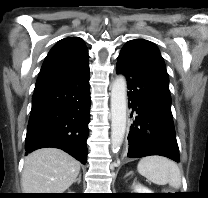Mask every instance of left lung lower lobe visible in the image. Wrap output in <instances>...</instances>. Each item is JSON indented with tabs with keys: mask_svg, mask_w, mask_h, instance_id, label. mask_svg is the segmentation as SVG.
Here are the masks:
<instances>
[{
	"mask_svg": "<svg viewBox=\"0 0 208 198\" xmlns=\"http://www.w3.org/2000/svg\"><path fill=\"white\" fill-rule=\"evenodd\" d=\"M116 72L126 75L133 123L128 135V157L161 155L179 162V148L171 113V96L157 62L143 39L129 41L121 50Z\"/></svg>",
	"mask_w": 208,
	"mask_h": 198,
	"instance_id": "0a47b994",
	"label": "left lung lower lobe"
}]
</instances>
